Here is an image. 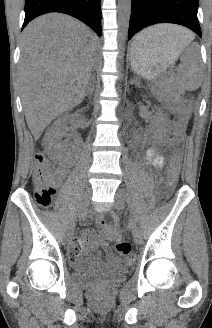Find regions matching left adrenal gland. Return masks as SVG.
I'll return each mask as SVG.
<instances>
[{
	"label": "left adrenal gland",
	"mask_w": 212,
	"mask_h": 328,
	"mask_svg": "<svg viewBox=\"0 0 212 328\" xmlns=\"http://www.w3.org/2000/svg\"><path fill=\"white\" fill-rule=\"evenodd\" d=\"M132 83H134L136 86H139V82L136 77L132 80Z\"/></svg>",
	"instance_id": "a2214340"
}]
</instances>
